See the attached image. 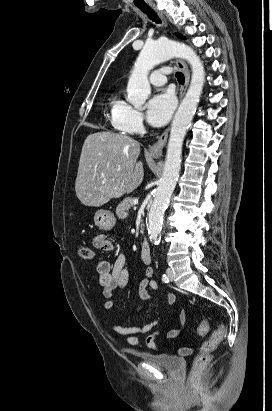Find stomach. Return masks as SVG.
Masks as SVG:
<instances>
[{"mask_svg":"<svg viewBox=\"0 0 272 411\" xmlns=\"http://www.w3.org/2000/svg\"><path fill=\"white\" fill-rule=\"evenodd\" d=\"M94 222L101 230H111L116 224V218L112 212L101 209L95 213Z\"/></svg>","mask_w":272,"mask_h":411,"instance_id":"0dacf381","label":"stomach"}]
</instances>
